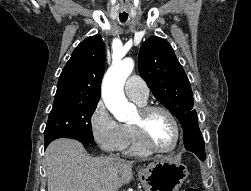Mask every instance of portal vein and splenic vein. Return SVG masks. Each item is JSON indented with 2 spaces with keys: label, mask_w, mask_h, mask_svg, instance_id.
<instances>
[{
  "label": "portal vein and splenic vein",
  "mask_w": 251,
  "mask_h": 191,
  "mask_svg": "<svg viewBox=\"0 0 251 191\" xmlns=\"http://www.w3.org/2000/svg\"><path fill=\"white\" fill-rule=\"evenodd\" d=\"M95 191H105V189H95Z\"/></svg>",
  "instance_id": "1"
}]
</instances>
